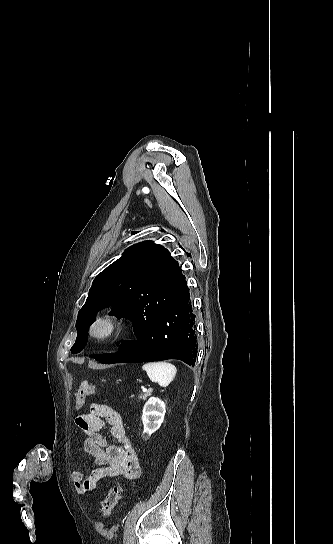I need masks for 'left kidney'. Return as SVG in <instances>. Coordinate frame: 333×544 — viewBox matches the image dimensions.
Instances as JSON below:
<instances>
[{"label": "left kidney", "mask_w": 333, "mask_h": 544, "mask_svg": "<svg viewBox=\"0 0 333 544\" xmlns=\"http://www.w3.org/2000/svg\"><path fill=\"white\" fill-rule=\"evenodd\" d=\"M166 413L165 403L156 397H151L144 405L142 422L143 433L142 438L147 440L150 436L157 431L164 421Z\"/></svg>", "instance_id": "5707ae66"}]
</instances>
